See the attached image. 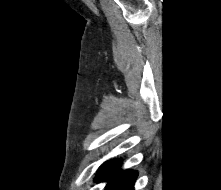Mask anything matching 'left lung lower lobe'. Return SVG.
<instances>
[{"label":"left lung lower lobe","mask_w":221,"mask_h":190,"mask_svg":"<svg viewBox=\"0 0 221 190\" xmlns=\"http://www.w3.org/2000/svg\"><path fill=\"white\" fill-rule=\"evenodd\" d=\"M121 160L107 161L97 171L95 181H107L105 190H134L137 172L121 170Z\"/></svg>","instance_id":"obj_1"}]
</instances>
